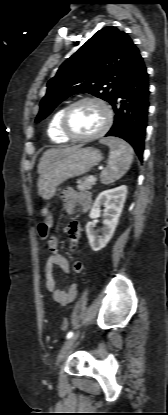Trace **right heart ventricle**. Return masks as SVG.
<instances>
[{
  "label": "right heart ventricle",
  "instance_id": "obj_1",
  "mask_svg": "<svg viewBox=\"0 0 168 415\" xmlns=\"http://www.w3.org/2000/svg\"><path fill=\"white\" fill-rule=\"evenodd\" d=\"M66 107L59 108L51 117L50 122L47 128V134L50 140L54 143H66L69 139L64 136L60 129V120L63 114V111Z\"/></svg>",
  "mask_w": 168,
  "mask_h": 415
}]
</instances>
